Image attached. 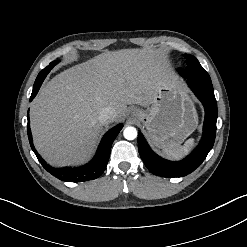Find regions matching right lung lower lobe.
Listing matches in <instances>:
<instances>
[{
  "label": "right lung lower lobe",
  "instance_id": "right-lung-lower-lobe-1",
  "mask_svg": "<svg viewBox=\"0 0 247 247\" xmlns=\"http://www.w3.org/2000/svg\"><path fill=\"white\" fill-rule=\"evenodd\" d=\"M47 74H48L47 72L45 74H38L36 81L34 83V86H33V91L30 97V101L36 96ZM27 118H28L27 133H28L29 142L39 162L42 164L44 169L48 171L50 174L66 182H83V181H88V180H93V179L98 178L103 173V171L105 170L107 166V163L110 157L112 143L123 127L122 124H119L113 129H111L104 136L99 146L96 157L88 165L82 168H76V169H72V168L57 169V168H53L50 165H48L36 152L33 146L31 130L29 126V114Z\"/></svg>",
  "mask_w": 247,
  "mask_h": 247
}]
</instances>
